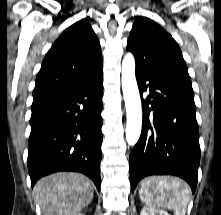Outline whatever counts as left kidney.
<instances>
[{
    "label": "left kidney",
    "instance_id": "obj_1",
    "mask_svg": "<svg viewBox=\"0 0 221 215\" xmlns=\"http://www.w3.org/2000/svg\"><path fill=\"white\" fill-rule=\"evenodd\" d=\"M140 215H169V214L165 210H161L159 208L144 207L141 210Z\"/></svg>",
    "mask_w": 221,
    "mask_h": 215
}]
</instances>
